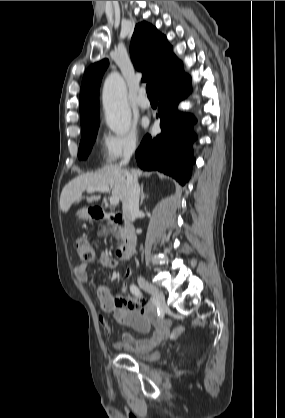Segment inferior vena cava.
<instances>
[{"mask_svg": "<svg viewBox=\"0 0 285 418\" xmlns=\"http://www.w3.org/2000/svg\"><path fill=\"white\" fill-rule=\"evenodd\" d=\"M135 151V145H130L125 148L123 159L120 162V167L128 164L132 154ZM139 194L140 187L136 179L130 174L126 176V192L122 199L123 216L126 220L133 222L139 212Z\"/></svg>", "mask_w": 285, "mask_h": 418, "instance_id": "inferior-vena-cava-1", "label": "inferior vena cava"}]
</instances>
